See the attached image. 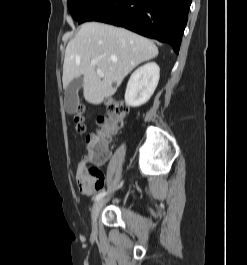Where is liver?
Instances as JSON below:
<instances>
[{
	"label": "liver",
	"mask_w": 247,
	"mask_h": 265,
	"mask_svg": "<svg viewBox=\"0 0 247 265\" xmlns=\"http://www.w3.org/2000/svg\"><path fill=\"white\" fill-rule=\"evenodd\" d=\"M157 55L158 48L145 37L104 23H84L65 50L63 87L83 76L85 100L101 104L115 94L137 65ZM92 61L97 64L93 65ZM97 68L104 72L103 78L98 75Z\"/></svg>",
	"instance_id": "obj_1"
}]
</instances>
